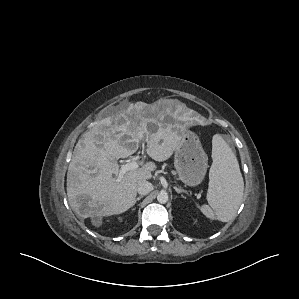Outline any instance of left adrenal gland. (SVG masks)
<instances>
[{
    "mask_svg": "<svg viewBox=\"0 0 299 299\" xmlns=\"http://www.w3.org/2000/svg\"><path fill=\"white\" fill-rule=\"evenodd\" d=\"M174 189H175V191H176L178 194H180V193H186V194H187V191L184 190V189H182V188H177V187H175Z\"/></svg>",
    "mask_w": 299,
    "mask_h": 299,
    "instance_id": "obj_1",
    "label": "left adrenal gland"
}]
</instances>
